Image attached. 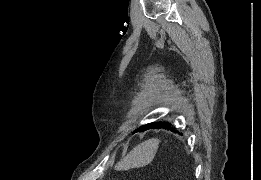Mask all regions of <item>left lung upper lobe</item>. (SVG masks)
<instances>
[{"mask_svg":"<svg viewBox=\"0 0 261 180\" xmlns=\"http://www.w3.org/2000/svg\"><path fill=\"white\" fill-rule=\"evenodd\" d=\"M151 124H153V123H150V124L143 125L142 127H140V128H139V129H137V130H143L144 128L148 127V126H149V125H151Z\"/></svg>","mask_w":261,"mask_h":180,"instance_id":"left-lung-upper-lobe-1","label":"left lung upper lobe"}]
</instances>
